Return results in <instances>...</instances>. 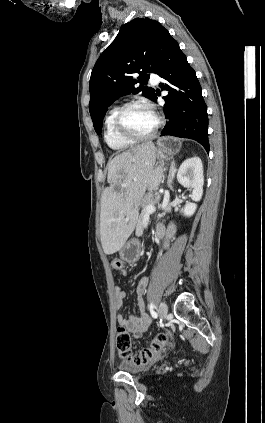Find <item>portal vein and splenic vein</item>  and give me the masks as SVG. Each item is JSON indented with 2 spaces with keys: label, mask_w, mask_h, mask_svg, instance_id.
Listing matches in <instances>:
<instances>
[{
  "label": "portal vein and splenic vein",
  "mask_w": 265,
  "mask_h": 423,
  "mask_svg": "<svg viewBox=\"0 0 265 423\" xmlns=\"http://www.w3.org/2000/svg\"><path fill=\"white\" fill-rule=\"evenodd\" d=\"M169 201H170L169 191L168 190H165V192H164V199H163L161 208L164 209L168 205ZM155 210H156V208H155L154 205L147 206V208H146L147 215L145 217L146 222H148V220H149V215L152 214V213H154Z\"/></svg>",
  "instance_id": "1"
}]
</instances>
